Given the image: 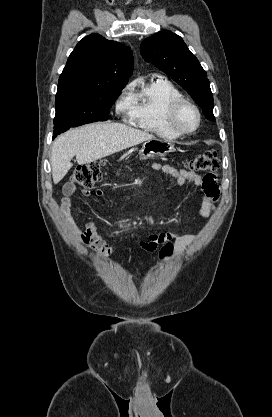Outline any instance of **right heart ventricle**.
<instances>
[{
    "mask_svg": "<svg viewBox=\"0 0 272 417\" xmlns=\"http://www.w3.org/2000/svg\"><path fill=\"white\" fill-rule=\"evenodd\" d=\"M178 98H183L182 93L162 77L140 84L130 98L129 121L133 126L162 138L176 139L179 135L168 127L166 111L168 105Z\"/></svg>",
    "mask_w": 272,
    "mask_h": 417,
    "instance_id": "obj_1",
    "label": "right heart ventricle"
}]
</instances>
